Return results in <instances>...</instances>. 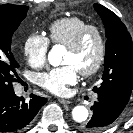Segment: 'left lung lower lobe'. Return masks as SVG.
<instances>
[{"mask_svg": "<svg viewBox=\"0 0 133 133\" xmlns=\"http://www.w3.org/2000/svg\"><path fill=\"white\" fill-rule=\"evenodd\" d=\"M97 94L98 100L92 106V118L82 126L84 133H98L107 128L118 118L128 103L104 92Z\"/></svg>", "mask_w": 133, "mask_h": 133, "instance_id": "obj_1", "label": "left lung lower lobe"}]
</instances>
